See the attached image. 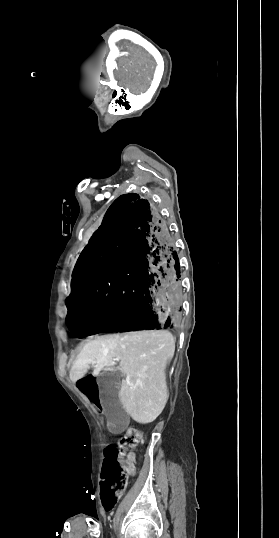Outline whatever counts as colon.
Segmentation results:
<instances>
[{"label":"colon","instance_id":"obj_1","mask_svg":"<svg viewBox=\"0 0 279 538\" xmlns=\"http://www.w3.org/2000/svg\"><path fill=\"white\" fill-rule=\"evenodd\" d=\"M144 441L143 434L136 428H129L119 441V446H107L104 450L102 468L101 498L106 510L116 505L120 495L125 490L130 471L119 463V457L127 449L135 448Z\"/></svg>","mask_w":279,"mask_h":538}]
</instances>
